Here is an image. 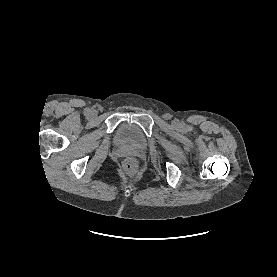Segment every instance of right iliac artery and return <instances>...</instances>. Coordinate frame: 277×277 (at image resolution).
Here are the masks:
<instances>
[{"label":"right iliac artery","instance_id":"82829eb1","mask_svg":"<svg viewBox=\"0 0 277 277\" xmlns=\"http://www.w3.org/2000/svg\"><path fill=\"white\" fill-rule=\"evenodd\" d=\"M90 112H91L90 109H85V114H86V115H89Z\"/></svg>","mask_w":277,"mask_h":277}]
</instances>
